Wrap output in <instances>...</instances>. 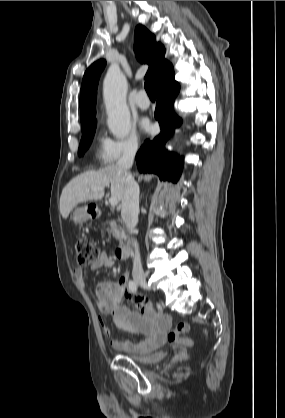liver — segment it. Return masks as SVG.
Masks as SVG:
<instances>
[{
  "label": "liver",
  "mask_w": 285,
  "mask_h": 418,
  "mask_svg": "<svg viewBox=\"0 0 285 418\" xmlns=\"http://www.w3.org/2000/svg\"><path fill=\"white\" fill-rule=\"evenodd\" d=\"M125 176L119 172L116 165H110L98 171H87L73 178L63 189L60 197V213L67 219L72 210L79 204L90 200H100L102 191H87L88 189L110 185L111 197L122 200Z\"/></svg>",
  "instance_id": "6515ba94"
}]
</instances>
